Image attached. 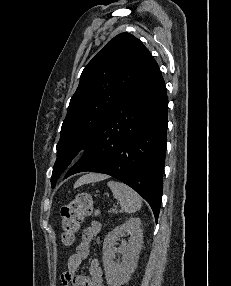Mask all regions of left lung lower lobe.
Wrapping results in <instances>:
<instances>
[{"label": "left lung lower lobe", "mask_w": 231, "mask_h": 286, "mask_svg": "<svg viewBox=\"0 0 231 286\" xmlns=\"http://www.w3.org/2000/svg\"><path fill=\"white\" fill-rule=\"evenodd\" d=\"M168 98L158 65L127 93L98 126L82 159L65 178L84 171L105 173L127 184L158 219L168 126Z\"/></svg>", "instance_id": "left-lung-lower-lobe-1"}]
</instances>
